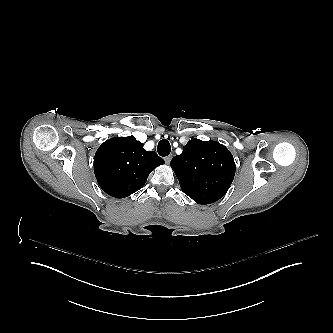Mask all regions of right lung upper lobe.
<instances>
[{
    "mask_svg": "<svg viewBox=\"0 0 333 333\" xmlns=\"http://www.w3.org/2000/svg\"><path fill=\"white\" fill-rule=\"evenodd\" d=\"M164 160L146 151L133 136L105 141L94 157V173L99 186L110 196L124 198L141 189L148 175Z\"/></svg>",
    "mask_w": 333,
    "mask_h": 333,
    "instance_id": "obj_1",
    "label": "right lung upper lobe"
}]
</instances>
